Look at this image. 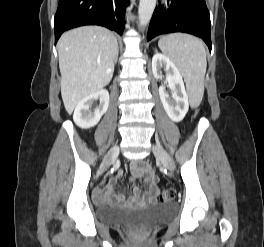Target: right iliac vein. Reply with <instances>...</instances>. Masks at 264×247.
<instances>
[{
    "instance_id": "1",
    "label": "right iliac vein",
    "mask_w": 264,
    "mask_h": 247,
    "mask_svg": "<svg viewBox=\"0 0 264 247\" xmlns=\"http://www.w3.org/2000/svg\"><path fill=\"white\" fill-rule=\"evenodd\" d=\"M119 153V148L117 146L113 147L110 152L107 154L105 159L103 160L102 163V168L107 169L110 164L117 158Z\"/></svg>"
}]
</instances>
